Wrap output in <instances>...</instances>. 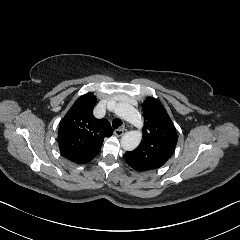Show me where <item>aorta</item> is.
I'll list each match as a JSON object with an SVG mask.
<instances>
[{
  "instance_id": "obj_1",
  "label": "aorta",
  "mask_w": 240,
  "mask_h": 240,
  "mask_svg": "<svg viewBox=\"0 0 240 240\" xmlns=\"http://www.w3.org/2000/svg\"><path fill=\"white\" fill-rule=\"evenodd\" d=\"M116 113L119 117L136 128V130H131L125 133L121 138V146L123 149L132 151L139 146L143 138V119L136 108L126 103L119 104L116 108Z\"/></svg>"
}]
</instances>
